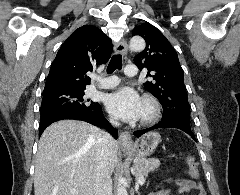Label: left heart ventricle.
<instances>
[{
  "label": "left heart ventricle",
  "instance_id": "left-heart-ventricle-1",
  "mask_svg": "<svg viewBox=\"0 0 240 195\" xmlns=\"http://www.w3.org/2000/svg\"><path fill=\"white\" fill-rule=\"evenodd\" d=\"M148 112H149L148 106L142 103L141 114H140L139 119L146 116L148 114Z\"/></svg>",
  "mask_w": 240,
  "mask_h": 195
}]
</instances>
